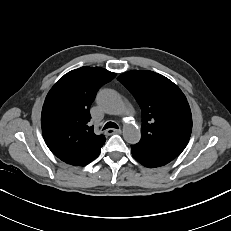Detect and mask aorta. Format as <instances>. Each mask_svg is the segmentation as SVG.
<instances>
[{"label":"aorta","mask_w":231,"mask_h":231,"mask_svg":"<svg viewBox=\"0 0 231 231\" xmlns=\"http://www.w3.org/2000/svg\"><path fill=\"white\" fill-rule=\"evenodd\" d=\"M97 104L102 110L107 113L120 115L124 110V103L120 95L110 89H105L99 92L97 96ZM141 137L138 127L132 124H125L123 126V138L130 144H136Z\"/></svg>","instance_id":"1"}]
</instances>
